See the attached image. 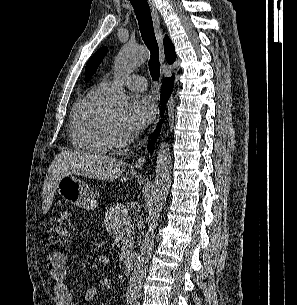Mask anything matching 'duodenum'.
Wrapping results in <instances>:
<instances>
[{"label": "duodenum", "instance_id": "duodenum-1", "mask_svg": "<svg viewBox=\"0 0 297 305\" xmlns=\"http://www.w3.org/2000/svg\"><path fill=\"white\" fill-rule=\"evenodd\" d=\"M134 264V254H127L123 259V270L125 273L129 274L132 271Z\"/></svg>", "mask_w": 297, "mask_h": 305}]
</instances>
